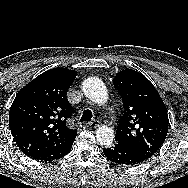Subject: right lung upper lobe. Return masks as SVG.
<instances>
[{"label": "right lung upper lobe", "instance_id": "1", "mask_svg": "<svg viewBox=\"0 0 188 188\" xmlns=\"http://www.w3.org/2000/svg\"><path fill=\"white\" fill-rule=\"evenodd\" d=\"M76 74L75 70L53 68L17 93L10 107L9 126L25 155L62 146L76 137V129L66 124L72 115L66 93Z\"/></svg>", "mask_w": 188, "mask_h": 188}]
</instances>
